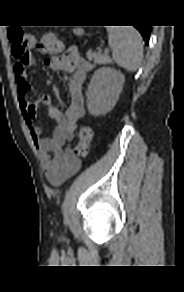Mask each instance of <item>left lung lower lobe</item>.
<instances>
[{"mask_svg": "<svg viewBox=\"0 0 184 292\" xmlns=\"http://www.w3.org/2000/svg\"><path fill=\"white\" fill-rule=\"evenodd\" d=\"M136 27L141 35L143 36V39L145 40V43L148 44L149 37H150V26H144V25H136Z\"/></svg>", "mask_w": 184, "mask_h": 292, "instance_id": "obj_1", "label": "left lung lower lobe"}]
</instances>
